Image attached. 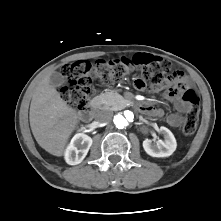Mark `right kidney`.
Listing matches in <instances>:
<instances>
[{"instance_id": "right-kidney-1", "label": "right kidney", "mask_w": 221, "mask_h": 221, "mask_svg": "<svg viewBox=\"0 0 221 221\" xmlns=\"http://www.w3.org/2000/svg\"><path fill=\"white\" fill-rule=\"evenodd\" d=\"M92 142V138L84 133L75 134L65 151L67 164L77 165L81 163L86 157Z\"/></svg>"}]
</instances>
